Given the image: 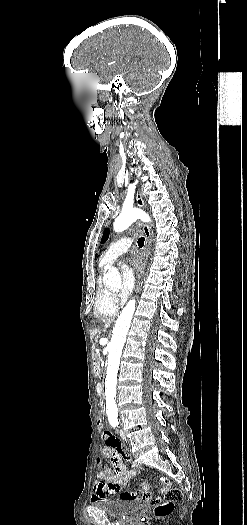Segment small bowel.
I'll return each mask as SVG.
<instances>
[{
	"instance_id": "small-bowel-1",
	"label": "small bowel",
	"mask_w": 247,
	"mask_h": 525,
	"mask_svg": "<svg viewBox=\"0 0 247 525\" xmlns=\"http://www.w3.org/2000/svg\"><path fill=\"white\" fill-rule=\"evenodd\" d=\"M102 441L104 443L102 449L103 457L109 460L112 468H103L102 460L97 459L96 464L100 470L97 475L96 494L93 496L95 506H108L110 502V496L107 494L108 486L110 485L112 487L113 492L118 493L141 470L140 463L130 456L121 441L110 431L103 432ZM125 462L131 463V470L126 467ZM163 486H168V483H163ZM142 489L143 495H145L144 500L150 502L152 497L150 496L148 486L143 485ZM120 499L123 501H131L133 504H140L143 501V496L140 493L125 491L121 493Z\"/></svg>"
}]
</instances>
